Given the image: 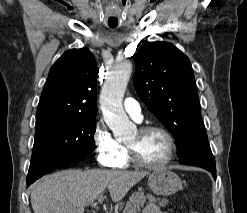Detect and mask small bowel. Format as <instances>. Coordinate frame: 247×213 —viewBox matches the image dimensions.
Instances as JSON below:
<instances>
[{
    "label": "small bowel",
    "mask_w": 247,
    "mask_h": 213,
    "mask_svg": "<svg viewBox=\"0 0 247 213\" xmlns=\"http://www.w3.org/2000/svg\"><path fill=\"white\" fill-rule=\"evenodd\" d=\"M143 213H166V212H161L155 204L149 203L145 206Z\"/></svg>",
    "instance_id": "obj_1"
}]
</instances>
